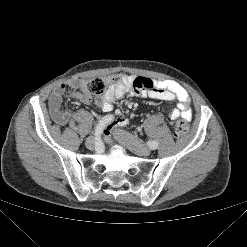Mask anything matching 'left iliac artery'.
<instances>
[{
  "instance_id": "left-iliac-artery-1",
  "label": "left iliac artery",
  "mask_w": 247,
  "mask_h": 247,
  "mask_svg": "<svg viewBox=\"0 0 247 247\" xmlns=\"http://www.w3.org/2000/svg\"><path fill=\"white\" fill-rule=\"evenodd\" d=\"M149 146L151 149L155 150L158 147V142L154 140V141L150 142Z\"/></svg>"
}]
</instances>
